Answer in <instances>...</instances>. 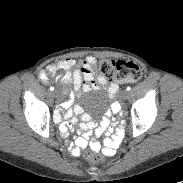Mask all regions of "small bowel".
I'll use <instances>...</instances> for the list:
<instances>
[{
    "label": "small bowel",
    "mask_w": 183,
    "mask_h": 183,
    "mask_svg": "<svg viewBox=\"0 0 183 183\" xmlns=\"http://www.w3.org/2000/svg\"><path fill=\"white\" fill-rule=\"evenodd\" d=\"M95 63L96 60L93 56H87L83 60L63 59L48 67L47 70L54 74L59 70L64 71V75L57 80L58 83H72L69 98L60 104L53 117L54 121L60 124V132L63 137L68 136L69 128L74 125L76 131L83 133L70 145L72 154L80 155L87 147H90L94 151L103 150L104 157L111 158L122 141V128L128 125V120L125 117L118 116L121 109L119 103H114L99 123L94 122L89 115L84 114L80 105H73L74 96L81 91L90 92L99 87H107L111 96L117 93L119 89L117 83L108 84L105 78L95 75ZM43 73L44 71L40 75L41 79L48 82L49 78L43 77ZM113 125L118 128L110 136ZM91 134L95 138L102 137V142L100 143L97 140L89 142L88 138Z\"/></svg>",
    "instance_id": "obj_1"
}]
</instances>
